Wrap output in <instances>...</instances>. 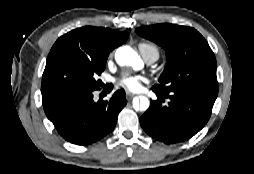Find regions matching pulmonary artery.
<instances>
[{
	"mask_svg": "<svg viewBox=\"0 0 254 174\" xmlns=\"http://www.w3.org/2000/svg\"><path fill=\"white\" fill-rule=\"evenodd\" d=\"M143 57L147 64H153L158 59V55L154 52L145 54Z\"/></svg>",
	"mask_w": 254,
	"mask_h": 174,
	"instance_id": "obj_1",
	"label": "pulmonary artery"
}]
</instances>
